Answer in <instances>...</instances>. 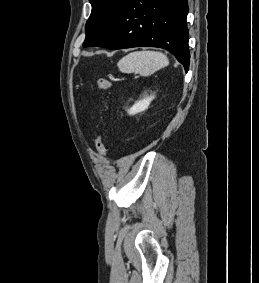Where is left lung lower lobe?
I'll return each instance as SVG.
<instances>
[{"label":"left lung lower lobe","instance_id":"obj_1","mask_svg":"<svg viewBox=\"0 0 259 283\" xmlns=\"http://www.w3.org/2000/svg\"><path fill=\"white\" fill-rule=\"evenodd\" d=\"M188 0H127L106 35L92 46L159 47L189 68Z\"/></svg>","mask_w":259,"mask_h":283}]
</instances>
